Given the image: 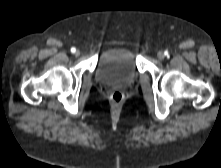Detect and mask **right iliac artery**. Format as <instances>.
Instances as JSON below:
<instances>
[{"mask_svg": "<svg viewBox=\"0 0 221 168\" xmlns=\"http://www.w3.org/2000/svg\"><path fill=\"white\" fill-rule=\"evenodd\" d=\"M71 52H72V53H75V52H76V49H75L74 47H72V48H71Z\"/></svg>", "mask_w": 221, "mask_h": 168, "instance_id": "right-iliac-artery-1", "label": "right iliac artery"}]
</instances>
